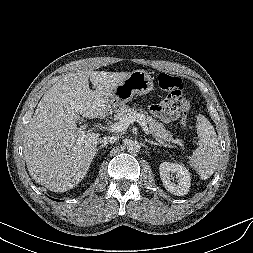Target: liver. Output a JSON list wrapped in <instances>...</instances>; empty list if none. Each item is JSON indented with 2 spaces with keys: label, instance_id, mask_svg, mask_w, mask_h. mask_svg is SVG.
<instances>
[{
  "label": "liver",
  "instance_id": "1",
  "mask_svg": "<svg viewBox=\"0 0 253 253\" xmlns=\"http://www.w3.org/2000/svg\"><path fill=\"white\" fill-rule=\"evenodd\" d=\"M130 73L82 70L60 78L41 98L24 133L29 174L53 192H65L86 176L99 134L82 133L80 116L93 119L108 109L114 88ZM89 78L95 91L89 88Z\"/></svg>",
  "mask_w": 253,
  "mask_h": 253
}]
</instances>
